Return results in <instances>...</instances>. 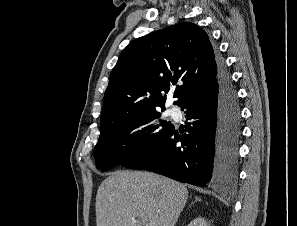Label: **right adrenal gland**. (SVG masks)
<instances>
[{"label":"right adrenal gland","instance_id":"1","mask_svg":"<svg viewBox=\"0 0 297 226\" xmlns=\"http://www.w3.org/2000/svg\"><path fill=\"white\" fill-rule=\"evenodd\" d=\"M196 201H200V199L198 197H196Z\"/></svg>","mask_w":297,"mask_h":226}]
</instances>
